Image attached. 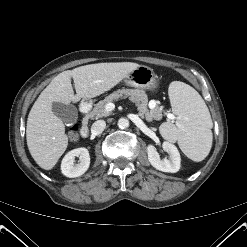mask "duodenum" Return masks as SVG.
I'll list each match as a JSON object with an SVG mask.
<instances>
[{
	"instance_id": "obj_1",
	"label": "duodenum",
	"mask_w": 247,
	"mask_h": 247,
	"mask_svg": "<svg viewBox=\"0 0 247 247\" xmlns=\"http://www.w3.org/2000/svg\"><path fill=\"white\" fill-rule=\"evenodd\" d=\"M91 109V105L88 102L81 104L80 112L83 116L82 123L80 127V134L82 137L86 138L89 136V126H88V118L87 115Z\"/></svg>"
}]
</instances>
